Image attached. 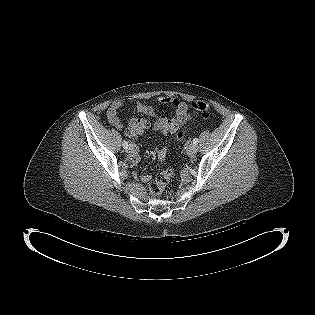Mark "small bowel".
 I'll return each instance as SVG.
<instances>
[{"mask_svg": "<svg viewBox=\"0 0 315 315\" xmlns=\"http://www.w3.org/2000/svg\"><path fill=\"white\" fill-rule=\"evenodd\" d=\"M157 100L160 104L167 105L174 109L175 111L174 116L166 115L157 116L155 108L142 101H137L134 106H131L126 101L115 100L107 109L106 112L107 120L111 125L115 126L117 129H121L123 127V123L118 116V112L121 109H127L130 112H138L150 117H156L153 127L157 131H160L164 134L176 133L179 127L186 123L191 117L188 104L184 101L179 100L176 97L159 96ZM149 125H150L149 120L143 118L140 121L131 124L127 128L126 133L130 137H135L137 135L142 134L146 129H148ZM166 151H167L166 146H163L162 148L157 150V154L160 160L164 159ZM130 158L133 163H137L140 160L139 154L135 146L133 152L130 155ZM140 178L142 182H148L151 179V175L146 173L141 175Z\"/></svg>", "mask_w": 315, "mask_h": 315, "instance_id": "small-bowel-1", "label": "small bowel"}]
</instances>
